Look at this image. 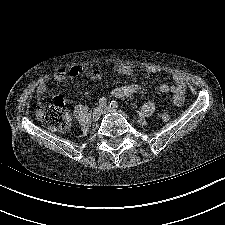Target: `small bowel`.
<instances>
[{
    "instance_id": "obj_1",
    "label": "small bowel",
    "mask_w": 225,
    "mask_h": 225,
    "mask_svg": "<svg viewBox=\"0 0 225 225\" xmlns=\"http://www.w3.org/2000/svg\"><path fill=\"white\" fill-rule=\"evenodd\" d=\"M116 72L120 75L129 76L132 74V69L128 65H119L116 68ZM81 73V68L74 66L66 69H59L57 70L53 78L57 82H62L66 79L68 75L72 76H78ZM102 74L101 71L98 69H94L90 71L89 77L93 80H99L101 78ZM175 84L169 87L166 84H162L160 86V91L163 93L166 92H172L173 93V101L175 105L180 106L184 102V92H185V85L180 77H174ZM47 90V85L45 82H41L38 84L36 88V98L39 104H42L44 102V95ZM139 90V86L136 84H127L118 86L113 89V95L117 98H127L131 96L132 94L136 93Z\"/></svg>"
}]
</instances>
